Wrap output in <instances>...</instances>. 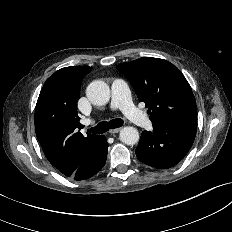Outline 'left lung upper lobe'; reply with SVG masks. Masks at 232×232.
<instances>
[{
    "label": "left lung upper lobe",
    "mask_w": 232,
    "mask_h": 232,
    "mask_svg": "<svg viewBox=\"0 0 232 232\" xmlns=\"http://www.w3.org/2000/svg\"><path fill=\"white\" fill-rule=\"evenodd\" d=\"M149 108L154 125L197 127V107L191 87L180 70L164 59L142 57L116 67Z\"/></svg>",
    "instance_id": "left-lung-upper-lobe-1"
}]
</instances>
